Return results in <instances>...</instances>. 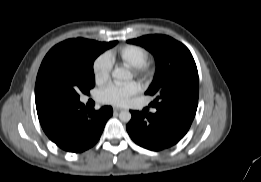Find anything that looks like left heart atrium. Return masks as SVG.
Segmentation results:
<instances>
[{"instance_id":"left-heart-atrium-1","label":"left heart atrium","mask_w":261,"mask_h":182,"mask_svg":"<svg viewBox=\"0 0 261 182\" xmlns=\"http://www.w3.org/2000/svg\"><path fill=\"white\" fill-rule=\"evenodd\" d=\"M140 90L136 82L126 85L110 84L103 88L98 95L101 102L115 106H124L129 103L131 98Z\"/></svg>"}]
</instances>
